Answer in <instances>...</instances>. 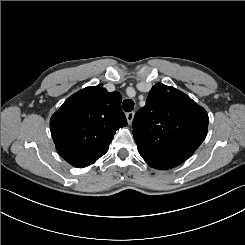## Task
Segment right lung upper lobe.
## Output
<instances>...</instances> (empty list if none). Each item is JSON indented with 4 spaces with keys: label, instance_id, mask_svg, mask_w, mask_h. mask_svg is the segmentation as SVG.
<instances>
[{
    "label": "right lung upper lobe",
    "instance_id": "1",
    "mask_svg": "<svg viewBox=\"0 0 245 245\" xmlns=\"http://www.w3.org/2000/svg\"><path fill=\"white\" fill-rule=\"evenodd\" d=\"M122 97L103 85L86 87L70 96L52 115L51 135L60 156L84 168L103 156L115 131L127 125Z\"/></svg>",
    "mask_w": 245,
    "mask_h": 245
}]
</instances>
